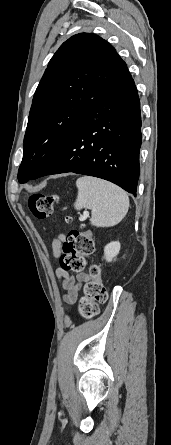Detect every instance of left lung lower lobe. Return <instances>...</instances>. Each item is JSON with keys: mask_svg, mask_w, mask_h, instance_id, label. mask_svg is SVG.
Segmentation results:
<instances>
[{"mask_svg": "<svg viewBox=\"0 0 171 445\" xmlns=\"http://www.w3.org/2000/svg\"><path fill=\"white\" fill-rule=\"evenodd\" d=\"M140 101L132 77L92 105L52 157L31 177L74 172L108 180L136 196Z\"/></svg>", "mask_w": 171, "mask_h": 445, "instance_id": "obj_1", "label": "left lung lower lobe"}]
</instances>
